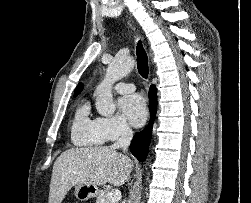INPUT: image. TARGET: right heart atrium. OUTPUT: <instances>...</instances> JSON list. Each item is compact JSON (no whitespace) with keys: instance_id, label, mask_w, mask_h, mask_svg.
<instances>
[{"instance_id":"obj_1","label":"right heart atrium","mask_w":251,"mask_h":203,"mask_svg":"<svg viewBox=\"0 0 251 203\" xmlns=\"http://www.w3.org/2000/svg\"><path fill=\"white\" fill-rule=\"evenodd\" d=\"M97 126L103 138L107 142H112L130 133L127 122L122 117L98 118Z\"/></svg>"}]
</instances>
